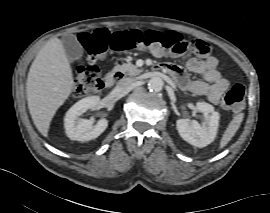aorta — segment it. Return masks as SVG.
<instances>
[{
    "mask_svg": "<svg viewBox=\"0 0 270 213\" xmlns=\"http://www.w3.org/2000/svg\"><path fill=\"white\" fill-rule=\"evenodd\" d=\"M164 82L160 77H152L148 81V89L152 92H160L163 89Z\"/></svg>",
    "mask_w": 270,
    "mask_h": 213,
    "instance_id": "aorta-1",
    "label": "aorta"
}]
</instances>
